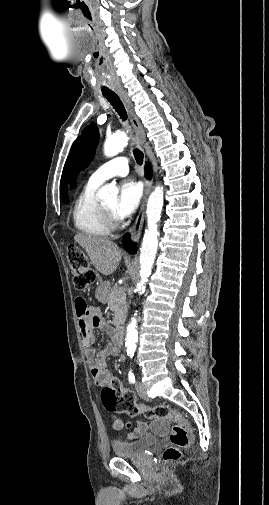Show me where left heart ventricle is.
I'll list each match as a JSON object with an SVG mask.
<instances>
[{
  "mask_svg": "<svg viewBox=\"0 0 269 505\" xmlns=\"http://www.w3.org/2000/svg\"><path fill=\"white\" fill-rule=\"evenodd\" d=\"M116 203H117V200H116V199H112V200H110V201L106 202V203L104 204V206H105L108 210H110V211H112V212L114 213Z\"/></svg>",
  "mask_w": 269,
  "mask_h": 505,
  "instance_id": "1",
  "label": "left heart ventricle"
}]
</instances>
